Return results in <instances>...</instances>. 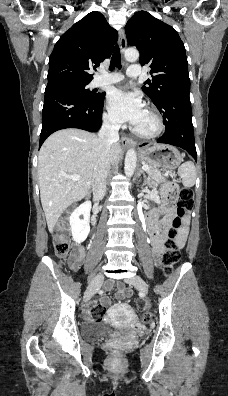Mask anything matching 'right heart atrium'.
Segmentation results:
<instances>
[{
	"label": "right heart atrium",
	"mask_w": 228,
	"mask_h": 396,
	"mask_svg": "<svg viewBox=\"0 0 228 396\" xmlns=\"http://www.w3.org/2000/svg\"><path fill=\"white\" fill-rule=\"evenodd\" d=\"M104 122L108 126L113 127V128H116L119 126V123L109 114L104 115Z\"/></svg>",
	"instance_id": "right-heart-atrium-1"
}]
</instances>
